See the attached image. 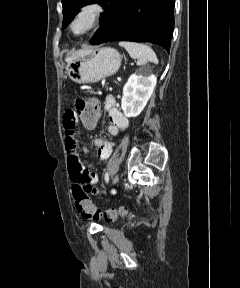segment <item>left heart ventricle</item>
Listing matches in <instances>:
<instances>
[{"label":"left heart ventricle","mask_w":240,"mask_h":288,"mask_svg":"<svg viewBox=\"0 0 240 288\" xmlns=\"http://www.w3.org/2000/svg\"><path fill=\"white\" fill-rule=\"evenodd\" d=\"M90 24V17L88 15H83L74 24V31L77 33L83 32L87 29Z\"/></svg>","instance_id":"b2bd125f"}]
</instances>
